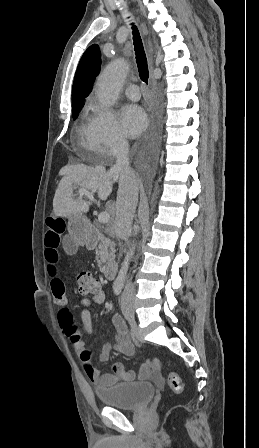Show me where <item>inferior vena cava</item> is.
I'll return each instance as SVG.
<instances>
[{
	"label": "inferior vena cava",
	"mask_w": 259,
	"mask_h": 448,
	"mask_svg": "<svg viewBox=\"0 0 259 448\" xmlns=\"http://www.w3.org/2000/svg\"><path fill=\"white\" fill-rule=\"evenodd\" d=\"M116 164L111 168L112 174H120V186L118 190L116 202V216L114 222V230L116 236L120 240L127 242L132 228V220L134 218L137 202H138V180L132 168H130L129 144L124 138H119L115 146ZM134 286L131 282H127L125 290L122 294L123 306L132 304L135 294Z\"/></svg>",
	"instance_id": "602c4592"
}]
</instances>
